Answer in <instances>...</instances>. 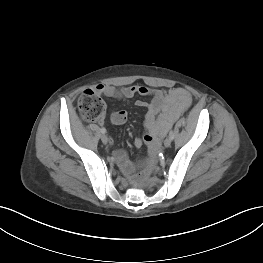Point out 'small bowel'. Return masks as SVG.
Masks as SVG:
<instances>
[{
    "instance_id": "obj_1",
    "label": "small bowel",
    "mask_w": 263,
    "mask_h": 263,
    "mask_svg": "<svg viewBox=\"0 0 263 263\" xmlns=\"http://www.w3.org/2000/svg\"><path fill=\"white\" fill-rule=\"evenodd\" d=\"M98 94L109 98L128 100L136 95L150 97L149 102L138 100L136 105L147 108L144 127L145 134L142 138L134 140V146L139 148L146 143L155 145L159 139L169 130L172 124L190 107L192 97L183 88L170 90L152 89L144 85H131L116 88L112 85L99 84L94 89ZM111 121L116 125H122L127 121V112L117 110L111 114ZM122 171L128 175L135 173L136 166L127 154L118 150L115 153Z\"/></svg>"
}]
</instances>
